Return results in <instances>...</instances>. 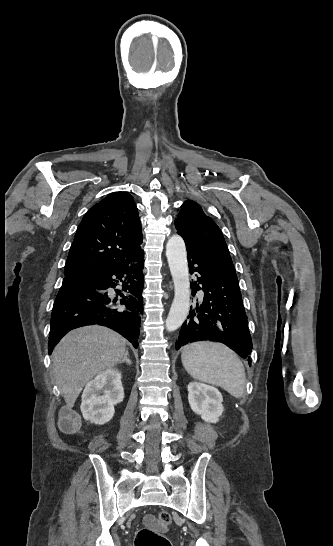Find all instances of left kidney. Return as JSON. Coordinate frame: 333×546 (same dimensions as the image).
<instances>
[{"instance_id":"1","label":"left kidney","mask_w":333,"mask_h":546,"mask_svg":"<svg viewBox=\"0 0 333 546\" xmlns=\"http://www.w3.org/2000/svg\"><path fill=\"white\" fill-rule=\"evenodd\" d=\"M188 400L193 412L200 415L205 422L219 421L223 413V397L217 388L191 382L188 385Z\"/></svg>"}]
</instances>
